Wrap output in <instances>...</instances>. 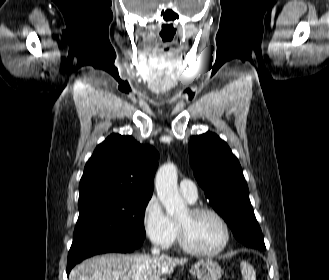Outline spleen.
Returning a JSON list of instances; mask_svg holds the SVG:
<instances>
[{
  "label": "spleen",
  "instance_id": "3e777b00",
  "mask_svg": "<svg viewBox=\"0 0 329 280\" xmlns=\"http://www.w3.org/2000/svg\"><path fill=\"white\" fill-rule=\"evenodd\" d=\"M240 268L244 280H256V272L252 265L246 261H241Z\"/></svg>",
  "mask_w": 329,
  "mask_h": 280
}]
</instances>
